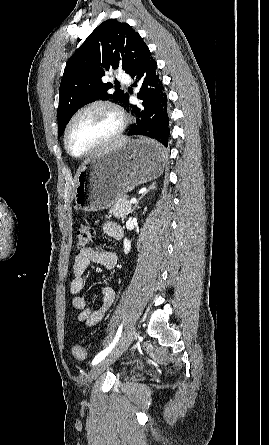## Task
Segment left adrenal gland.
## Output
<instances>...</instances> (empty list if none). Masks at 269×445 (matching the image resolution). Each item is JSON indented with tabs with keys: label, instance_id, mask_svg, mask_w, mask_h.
I'll return each mask as SVG.
<instances>
[{
	"label": "left adrenal gland",
	"instance_id": "1",
	"mask_svg": "<svg viewBox=\"0 0 269 445\" xmlns=\"http://www.w3.org/2000/svg\"><path fill=\"white\" fill-rule=\"evenodd\" d=\"M155 182L154 183H152L151 185H150V187L139 197V199H138V201L135 203V206H134V208H133V210L138 206V203H139V201L141 200V198H143V196H145L150 190H154V189H156V186H155Z\"/></svg>",
	"mask_w": 269,
	"mask_h": 445
}]
</instances>
